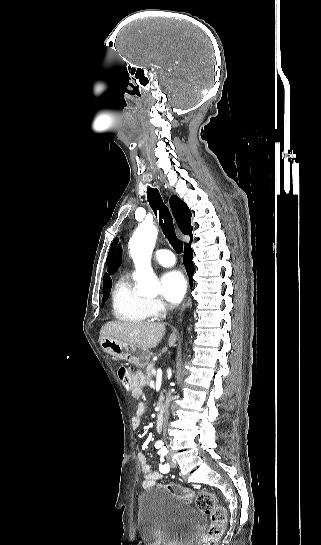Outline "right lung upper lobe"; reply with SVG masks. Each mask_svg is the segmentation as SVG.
Wrapping results in <instances>:
<instances>
[{"mask_svg": "<svg viewBox=\"0 0 321 545\" xmlns=\"http://www.w3.org/2000/svg\"><path fill=\"white\" fill-rule=\"evenodd\" d=\"M170 206L172 209L173 216L184 234L192 235V226H191V212L188 208V206L177 196H172L170 198ZM118 239L116 238L109 250V254L107 257L106 264H109L111 257L113 255L114 248L117 244ZM112 285L110 277L105 274L104 275V282H103V289L110 288Z\"/></svg>", "mask_w": 321, "mask_h": 545, "instance_id": "right-lung-upper-lobe-1", "label": "right lung upper lobe"}]
</instances>
